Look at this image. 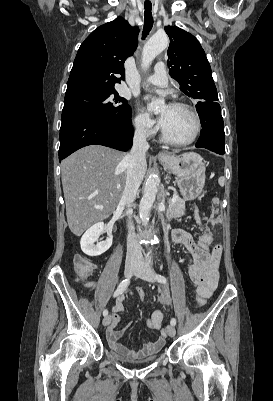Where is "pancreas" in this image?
I'll use <instances>...</instances> for the list:
<instances>
[{
	"label": "pancreas",
	"instance_id": "obj_1",
	"mask_svg": "<svg viewBox=\"0 0 273 401\" xmlns=\"http://www.w3.org/2000/svg\"><path fill=\"white\" fill-rule=\"evenodd\" d=\"M170 199L169 198V207L166 211V217L167 219H176V217H183L184 211H185V201H183V198H178L177 201L173 203V205H170Z\"/></svg>",
	"mask_w": 273,
	"mask_h": 401
}]
</instances>
